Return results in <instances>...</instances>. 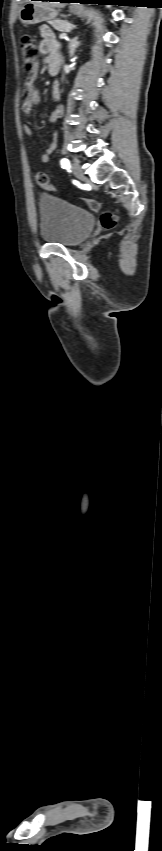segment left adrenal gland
<instances>
[{
	"label": "left adrenal gland",
	"instance_id": "a2214340",
	"mask_svg": "<svg viewBox=\"0 0 162 851\" xmlns=\"http://www.w3.org/2000/svg\"><path fill=\"white\" fill-rule=\"evenodd\" d=\"M79 45H80V41H78V37H74L73 39H71V41L68 44L69 56L70 57L74 56L75 51L79 47Z\"/></svg>",
	"mask_w": 162,
	"mask_h": 851
}]
</instances>
